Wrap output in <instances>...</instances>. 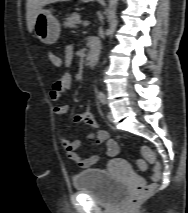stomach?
<instances>
[{
    "label": "stomach",
    "mask_w": 188,
    "mask_h": 213,
    "mask_svg": "<svg viewBox=\"0 0 188 213\" xmlns=\"http://www.w3.org/2000/svg\"><path fill=\"white\" fill-rule=\"evenodd\" d=\"M60 31V23L56 17L53 16L52 10L41 8L34 24L36 37L43 43L54 44L60 36Z\"/></svg>",
    "instance_id": "obj_1"
}]
</instances>
